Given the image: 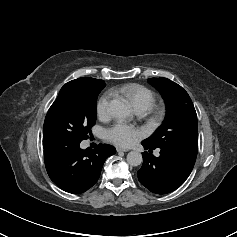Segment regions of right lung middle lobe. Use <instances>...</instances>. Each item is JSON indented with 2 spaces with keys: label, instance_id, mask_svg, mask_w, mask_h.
<instances>
[{
  "label": "right lung middle lobe",
  "instance_id": "1",
  "mask_svg": "<svg viewBox=\"0 0 237 237\" xmlns=\"http://www.w3.org/2000/svg\"><path fill=\"white\" fill-rule=\"evenodd\" d=\"M104 87L103 80L75 79L66 83L46 115L43 135H57L79 142L87 139L96 121L97 97Z\"/></svg>",
  "mask_w": 237,
  "mask_h": 237
}]
</instances>
